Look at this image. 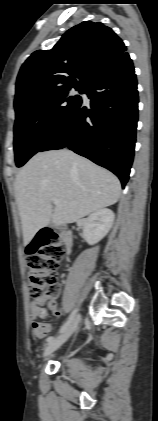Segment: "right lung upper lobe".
I'll return each mask as SVG.
<instances>
[{
  "label": "right lung upper lobe",
  "mask_w": 158,
  "mask_h": 421,
  "mask_svg": "<svg viewBox=\"0 0 158 421\" xmlns=\"http://www.w3.org/2000/svg\"><path fill=\"white\" fill-rule=\"evenodd\" d=\"M126 53L115 32L100 22L69 29L51 50H38L22 65L14 104L56 89L84 87L106 64Z\"/></svg>",
  "instance_id": "cb5924a9"
}]
</instances>
